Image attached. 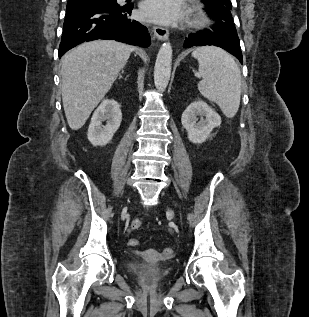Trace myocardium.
<instances>
[{
  "label": "myocardium",
  "instance_id": "1",
  "mask_svg": "<svg viewBox=\"0 0 309 317\" xmlns=\"http://www.w3.org/2000/svg\"><path fill=\"white\" fill-rule=\"evenodd\" d=\"M210 17L207 12L199 5H195L191 11L187 24L191 28H203L210 24Z\"/></svg>",
  "mask_w": 309,
  "mask_h": 317
}]
</instances>
